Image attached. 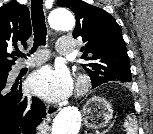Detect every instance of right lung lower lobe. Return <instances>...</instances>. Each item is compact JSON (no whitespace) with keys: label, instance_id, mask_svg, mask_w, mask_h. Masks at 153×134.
Listing matches in <instances>:
<instances>
[{"label":"right lung lower lobe","instance_id":"right-lung-lower-lobe-1","mask_svg":"<svg viewBox=\"0 0 153 134\" xmlns=\"http://www.w3.org/2000/svg\"><path fill=\"white\" fill-rule=\"evenodd\" d=\"M10 70L0 74V134H35L45 116V105L36 97H24L22 92L6 93Z\"/></svg>","mask_w":153,"mask_h":134}]
</instances>
